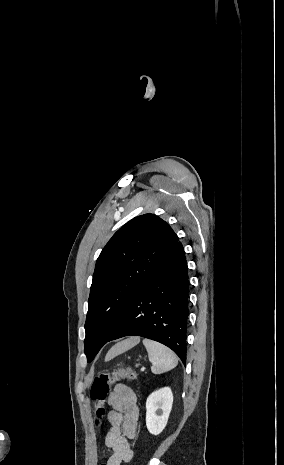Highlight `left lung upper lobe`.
Segmentation results:
<instances>
[{
  "mask_svg": "<svg viewBox=\"0 0 284 465\" xmlns=\"http://www.w3.org/2000/svg\"><path fill=\"white\" fill-rule=\"evenodd\" d=\"M177 242L165 221L144 214L122 226L103 248L93 274L85 322L88 362L106 344L133 297Z\"/></svg>",
  "mask_w": 284,
  "mask_h": 465,
  "instance_id": "1",
  "label": "left lung upper lobe"
}]
</instances>
